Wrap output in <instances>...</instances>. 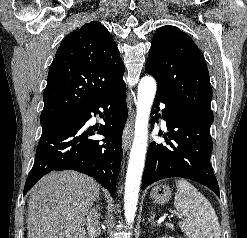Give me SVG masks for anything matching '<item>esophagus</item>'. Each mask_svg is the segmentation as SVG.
<instances>
[{
	"mask_svg": "<svg viewBox=\"0 0 247 238\" xmlns=\"http://www.w3.org/2000/svg\"><path fill=\"white\" fill-rule=\"evenodd\" d=\"M133 136V113H131L130 118L128 119L122 135V144L124 152L129 148Z\"/></svg>",
	"mask_w": 247,
	"mask_h": 238,
	"instance_id": "1",
	"label": "esophagus"
}]
</instances>
